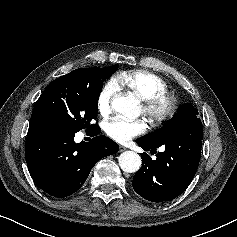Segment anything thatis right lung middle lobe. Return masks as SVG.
Instances as JSON below:
<instances>
[{"label": "right lung middle lobe", "instance_id": "1", "mask_svg": "<svg viewBox=\"0 0 237 237\" xmlns=\"http://www.w3.org/2000/svg\"><path fill=\"white\" fill-rule=\"evenodd\" d=\"M118 66L87 68V75H63L52 81L37 100L31 120L41 126H52L73 132L95 129L97 104L103 81Z\"/></svg>", "mask_w": 237, "mask_h": 237}]
</instances>
